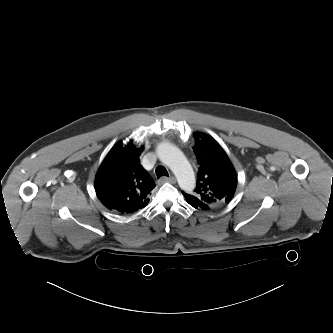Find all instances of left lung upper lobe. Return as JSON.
I'll return each mask as SVG.
<instances>
[{"label": "left lung upper lobe", "mask_w": 333, "mask_h": 333, "mask_svg": "<svg viewBox=\"0 0 333 333\" xmlns=\"http://www.w3.org/2000/svg\"><path fill=\"white\" fill-rule=\"evenodd\" d=\"M193 150L200 164L197 187L194 193L182 192L186 199L203 203L209 209L225 206L234 196L237 174L222 147L210 136L194 133Z\"/></svg>", "instance_id": "5c2ea615"}]
</instances>
